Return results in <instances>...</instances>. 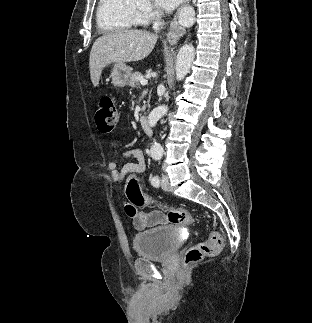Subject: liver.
<instances>
[{"label": "liver", "mask_w": 312, "mask_h": 323, "mask_svg": "<svg viewBox=\"0 0 312 323\" xmlns=\"http://www.w3.org/2000/svg\"><path fill=\"white\" fill-rule=\"evenodd\" d=\"M157 42L156 34L140 30H119L108 32L97 38L89 58L90 78L98 86L102 70L109 64L138 62L151 54Z\"/></svg>", "instance_id": "liver-1"}]
</instances>
